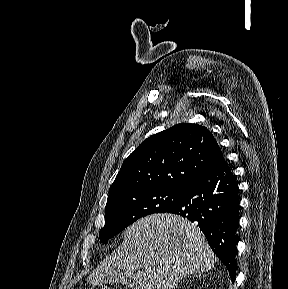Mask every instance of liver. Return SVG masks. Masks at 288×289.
<instances>
[{"mask_svg": "<svg viewBox=\"0 0 288 289\" xmlns=\"http://www.w3.org/2000/svg\"><path fill=\"white\" fill-rule=\"evenodd\" d=\"M216 261L196 224L175 214H153L127 228L123 243L87 282L100 286L123 272L130 289H172L188 275L211 270Z\"/></svg>", "mask_w": 288, "mask_h": 289, "instance_id": "liver-1", "label": "liver"}]
</instances>
